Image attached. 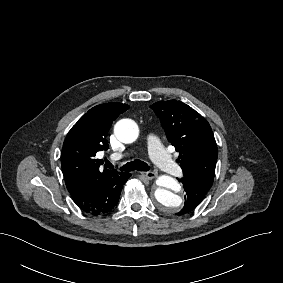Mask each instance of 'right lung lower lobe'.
<instances>
[{"mask_svg":"<svg viewBox=\"0 0 283 283\" xmlns=\"http://www.w3.org/2000/svg\"><path fill=\"white\" fill-rule=\"evenodd\" d=\"M130 176L129 173H120L90 180L76 184L68 191L84 213L92 216L105 215L117 205L123 185Z\"/></svg>","mask_w":283,"mask_h":283,"instance_id":"98d812e1","label":"right lung lower lobe"}]
</instances>
